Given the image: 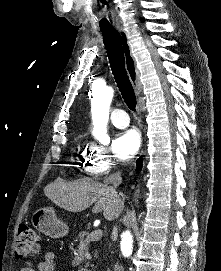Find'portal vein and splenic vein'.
<instances>
[{
	"label": "portal vein and splenic vein",
	"mask_w": 221,
	"mask_h": 271,
	"mask_svg": "<svg viewBox=\"0 0 221 271\" xmlns=\"http://www.w3.org/2000/svg\"><path fill=\"white\" fill-rule=\"evenodd\" d=\"M101 229H96V231H91L90 237H89V242H98L99 234H101Z\"/></svg>",
	"instance_id": "1"
}]
</instances>
